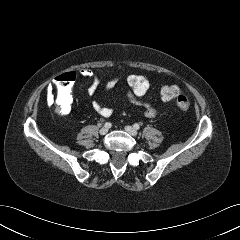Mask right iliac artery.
I'll list each match as a JSON object with an SVG mask.
<instances>
[{"mask_svg":"<svg viewBox=\"0 0 240 240\" xmlns=\"http://www.w3.org/2000/svg\"><path fill=\"white\" fill-rule=\"evenodd\" d=\"M106 128H110L112 126V124L110 122H106L104 125Z\"/></svg>","mask_w":240,"mask_h":240,"instance_id":"obj_1","label":"right iliac artery"}]
</instances>
